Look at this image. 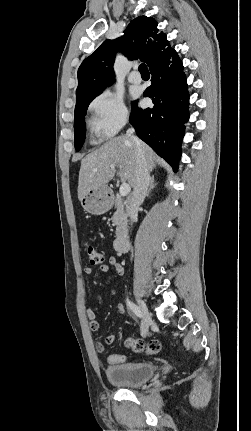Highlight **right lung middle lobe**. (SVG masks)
Returning a JSON list of instances; mask_svg holds the SVG:
<instances>
[{
	"label": "right lung middle lobe",
	"instance_id": "obj_1",
	"mask_svg": "<svg viewBox=\"0 0 251 431\" xmlns=\"http://www.w3.org/2000/svg\"><path fill=\"white\" fill-rule=\"evenodd\" d=\"M103 90L96 91L76 98L74 133H75V149L77 151L81 149L85 139V131H86L85 115H86L88 105Z\"/></svg>",
	"mask_w": 251,
	"mask_h": 431
}]
</instances>
